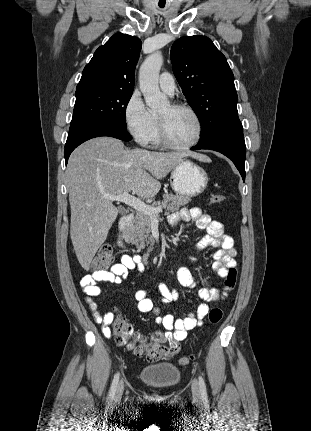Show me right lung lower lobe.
Wrapping results in <instances>:
<instances>
[{
    "instance_id": "98d812e1",
    "label": "right lung lower lobe",
    "mask_w": 311,
    "mask_h": 431,
    "mask_svg": "<svg viewBox=\"0 0 311 431\" xmlns=\"http://www.w3.org/2000/svg\"><path fill=\"white\" fill-rule=\"evenodd\" d=\"M126 126L103 121H89L71 127L69 130L67 142L65 144L66 164L71 152L81 143L99 136H110L123 141H130V135L126 131Z\"/></svg>"
}]
</instances>
